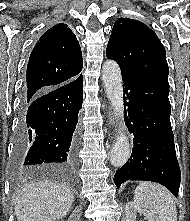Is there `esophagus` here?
<instances>
[{"mask_svg": "<svg viewBox=\"0 0 190 221\" xmlns=\"http://www.w3.org/2000/svg\"><path fill=\"white\" fill-rule=\"evenodd\" d=\"M108 118H109V123L111 126H115V118L112 114V111L109 109V112H108Z\"/></svg>", "mask_w": 190, "mask_h": 221, "instance_id": "esophagus-1", "label": "esophagus"}]
</instances>
